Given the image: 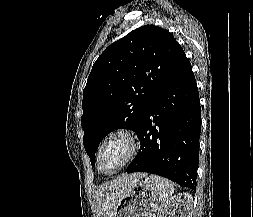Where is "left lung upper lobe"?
<instances>
[{
  "mask_svg": "<svg viewBox=\"0 0 253 217\" xmlns=\"http://www.w3.org/2000/svg\"><path fill=\"white\" fill-rule=\"evenodd\" d=\"M185 57L174 36L155 25L137 28L104 50L83 90V143L92 167L101 140L115 129L136 131L151 100Z\"/></svg>",
  "mask_w": 253,
  "mask_h": 217,
  "instance_id": "5c2ea615",
  "label": "left lung upper lobe"
}]
</instances>
